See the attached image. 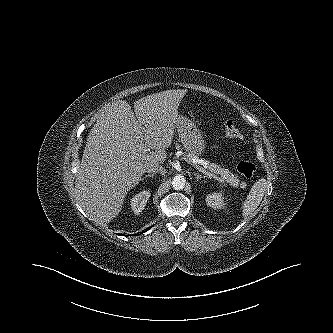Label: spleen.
<instances>
[{"mask_svg":"<svg viewBox=\"0 0 333 333\" xmlns=\"http://www.w3.org/2000/svg\"><path fill=\"white\" fill-rule=\"evenodd\" d=\"M268 183L269 182L265 178H261L252 186L242 205V215L244 220L254 217L256 209L267 192Z\"/></svg>","mask_w":333,"mask_h":333,"instance_id":"spleen-1","label":"spleen"}]
</instances>
